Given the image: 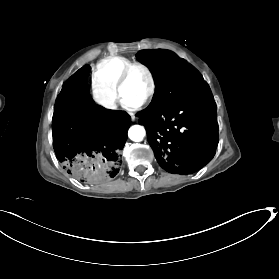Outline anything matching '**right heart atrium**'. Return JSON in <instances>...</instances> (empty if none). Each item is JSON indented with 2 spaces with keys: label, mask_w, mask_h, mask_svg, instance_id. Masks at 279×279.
<instances>
[{
  "label": "right heart atrium",
  "mask_w": 279,
  "mask_h": 279,
  "mask_svg": "<svg viewBox=\"0 0 279 279\" xmlns=\"http://www.w3.org/2000/svg\"><path fill=\"white\" fill-rule=\"evenodd\" d=\"M92 97L95 104L106 114H114L118 110L120 99L116 93L101 84H93Z\"/></svg>",
  "instance_id": "obj_1"
}]
</instances>
